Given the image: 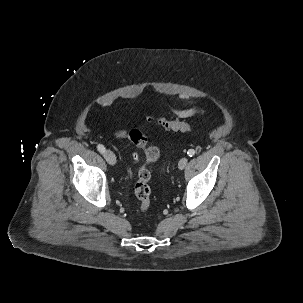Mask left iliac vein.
I'll return each instance as SVG.
<instances>
[{"label": "left iliac vein", "instance_id": "4c4485c4", "mask_svg": "<svg viewBox=\"0 0 303 303\" xmlns=\"http://www.w3.org/2000/svg\"><path fill=\"white\" fill-rule=\"evenodd\" d=\"M187 163H188V159L186 157L181 158L178 162L179 169L180 170L184 169L186 167Z\"/></svg>", "mask_w": 303, "mask_h": 303}]
</instances>
